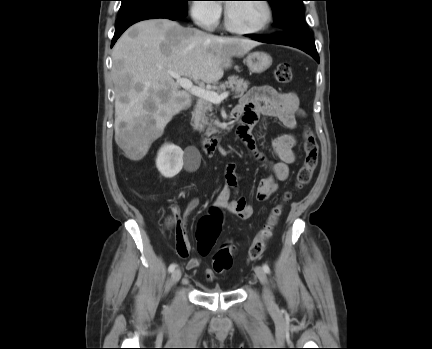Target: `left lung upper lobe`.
<instances>
[{
  "label": "left lung upper lobe",
  "instance_id": "left-lung-upper-lobe-1",
  "mask_svg": "<svg viewBox=\"0 0 432 349\" xmlns=\"http://www.w3.org/2000/svg\"><path fill=\"white\" fill-rule=\"evenodd\" d=\"M274 12V24L282 31L309 32L304 20L303 0H267Z\"/></svg>",
  "mask_w": 432,
  "mask_h": 349
}]
</instances>
